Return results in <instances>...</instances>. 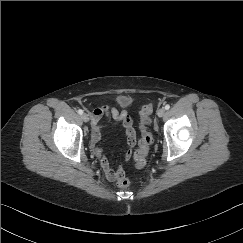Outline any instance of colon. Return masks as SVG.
<instances>
[{"mask_svg": "<svg viewBox=\"0 0 243 243\" xmlns=\"http://www.w3.org/2000/svg\"><path fill=\"white\" fill-rule=\"evenodd\" d=\"M153 110L152 104L144 105L140 111V132L141 138L138 143V150L135 153V166L137 168H142L146 162V156L148 154L149 148L153 143V136L148 129L150 123V115ZM130 179L128 177L119 178L117 184L121 188H127L130 186Z\"/></svg>", "mask_w": 243, "mask_h": 243, "instance_id": "obj_1", "label": "colon"}]
</instances>
